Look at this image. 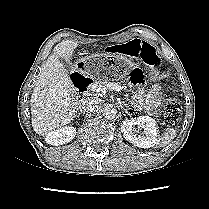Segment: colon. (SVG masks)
Here are the masks:
<instances>
[{
	"label": "colon",
	"mask_w": 209,
	"mask_h": 209,
	"mask_svg": "<svg viewBox=\"0 0 209 209\" xmlns=\"http://www.w3.org/2000/svg\"><path fill=\"white\" fill-rule=\"evenodd\" d=\"M107 54L121 53L128 57L141 59L145 64L151 67H157L160 63V58L157 54L156 48L147 41L139 39L132 40L126 44L107 45L105 47ZM155 76L164 77L165 75L156 72ZM181 116V104L176 98H168L163 108V119L166 125H175Z\"/></svg>",
	"instance_id": "5ec220e1"
}]
</instances>
